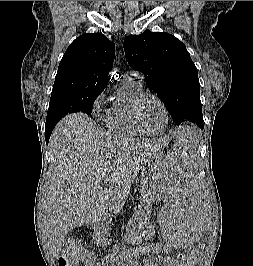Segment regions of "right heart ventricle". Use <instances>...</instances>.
Here are the masks:
<instances>
[{
	"instance_id": "obj_1",
	"label": "right heart ventricle",
	"mask_w": 253,
	"mask_h": 266,
	"mask_svg": "<svg viewBox=\"0 0 253 266\" xmlns=\"http://www.w3.org/2000/svg\"><path fill=\"white\" fill-rule=\"evenodd\" d=\"M143 92L142 84L125 80L117 92L110 109L106 123L109 131L124 137H138L143 134L135 127L131 117V104L136 96Z\"/></svg>"
}]
</instances>
